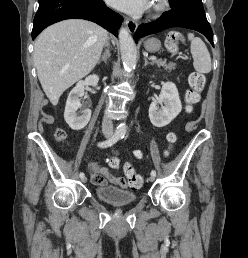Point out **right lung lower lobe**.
Segmentation results:
<instances>
[{"label": "right lung lower lobe", "instance_id": "1", "mask_svg": "<svg viewBox=\"0 0 248 258\" xmlns=\"http://www.w3.org/2000/svg\"><path fill=\"white\" fill-rule=\"evenodd\" d=\"M71 18L93 21L115 36L123 21L121 15L106 7L102 0H39L32 38L47 26Z\"/></svg>", "mask_w": 248, "mask_h": 258}]
</instances>
